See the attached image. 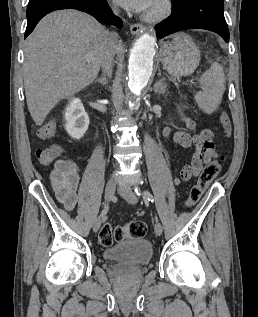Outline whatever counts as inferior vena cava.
<instances>
[{
	"mask_svg": "<svg viewBox=\"0 0 258 317\" xmlns=\"http://www.w3.org/2000/svg\"><path fill=\"white\" fill-rule=\"evenodd\" d=\"M117 40V32H110L101 62L102 70L103 72H107V74H111L112 72V64L114 60V54L116 52Z\"/></svg>",
	"mask_w": 258,
	"mask_h": 317,
	"instance_id": "602c4592",
	"label": "inferior vena cava"
}]
</instances>
